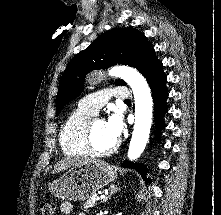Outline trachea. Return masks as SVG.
<instances>
[{
  "label": "trachea",
  "instance_id": "1",
  "mask_svg": "<svg viewBox=\"0 0 221 215\" xmlns=\"http://www.w3.org/2000/svg\"><path fill=\"white\" fill-rule=\"evenodd\" d=\"M125 102H129L130 100L129 99H126V100H124Z\"/></svg>",
  "mask_w": 221,
  "mask_h": 215
}]
</instances>
